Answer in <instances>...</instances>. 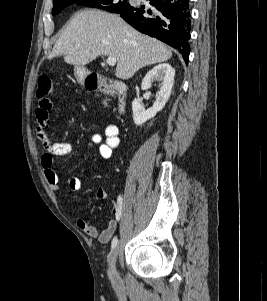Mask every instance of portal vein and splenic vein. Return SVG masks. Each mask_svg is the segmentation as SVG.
<instances>
[{
	"label": "portal vein and splenic vein",
	"instance_id": "1",
	"mask_svg": "<svg viewBox=\"0 0 267 301\" xmlns=\"http://www.w3.org/2000/svg\"><path fill=\"white\" fill-rule=\"evenodd\" d=\"M116 58L113 56H110L106 59V62L109 66H114L116 64Z\"/></svg>",
	"mask_w": 267,
	"mask_h": 301
}]
</instances>
